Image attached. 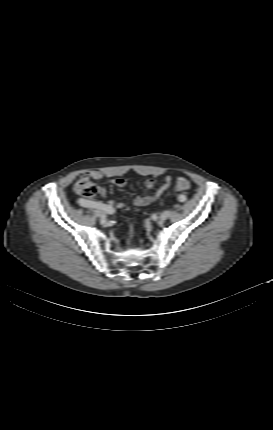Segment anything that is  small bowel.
Listing matches in <instances>:
<instances>
[{"instance_id":"1","label":"small bowel","mask_w":273,"mask_h":430,"mask_svg":"<svg viewBox=\"0 0 273 430\" xmlns=\"http://www.w3.org/2000/svg\"><path fill=\"white\" fill-rule=\"evenodd\" d=\"M88 175L95 180L101 179L103 177V174L100 171H96V170L90 171ZM181 180H186V179L180 177L176 180V183ZM113 184L119 188H123L126 186V180L123 178H117L113 180ZM155 184H156V181L152 178L147 179L145 182V186L148 189H152L155 186ZM172 184H173V178L167 175L164 178L163 184L160 187H158L154 192L145 194V195L136 196L133 200L134 205L141 207V206H146L151 203L157 202L160 199V197L163 195V193L166 190H168ZM99 193L101 196H105L106 189L101 187L99 189ZM78 204L85 208H92L94 205L103 204V203L96 200L79 198ZM107 205L116 209H123L125 207V203L122 201H118V202L109 201Z\"/></svg>"}]
</instances>
